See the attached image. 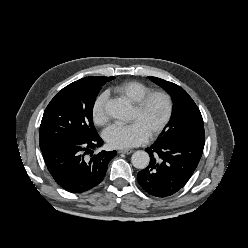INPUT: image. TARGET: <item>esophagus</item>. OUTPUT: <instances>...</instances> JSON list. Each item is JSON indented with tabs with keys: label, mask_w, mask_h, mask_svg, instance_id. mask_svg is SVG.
Returning a JSON list of instances; mask_svg holds the SVG:
<instances>
[{
	"label": "esophagus",
	"mask_w": 248,
	"mask_h": 248,
	"mask_svg": "<svg viewBox=\"0 0 248 248\" xmlns=\"http://www.w3.org/2000/svg\"><path fill=\"white\" fill-rule=\"evenodd\" d=\"M133 152L132 149H121L118 151V153H123V154H131Z\"/></svg>",
	"instance_id": "obj_1"
}]
</instances>
